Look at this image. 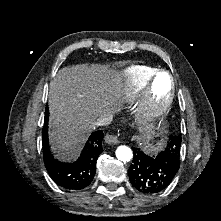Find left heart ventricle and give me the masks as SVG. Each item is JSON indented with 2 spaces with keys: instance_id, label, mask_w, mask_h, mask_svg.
Here are the masks:
<instances>
[{
  "instance_id": "b2bd125f",
  "label": "left heart ventricle",
  "mask_w": 221,
  "mask_h": 221,
  "mask_svg": "<svg viewBox=\"0 0 221 221\" xmlns=\"http://www.w3.org/2000/svg\"><path fill=\"white\" fill-rule=\"evenodd\" d=\"M170 91V81L166 74H161L157 77L153 92L157 103H162L166 100Z\"/></svg>"
}]
</instances>
